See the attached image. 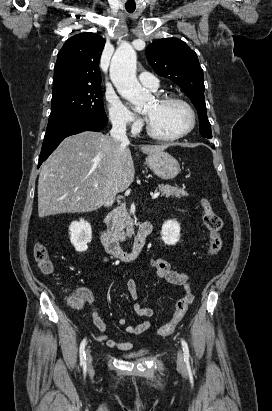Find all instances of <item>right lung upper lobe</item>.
<instances>
[{"instance_id":"cb5924a9","label":"right lung upper lobe","mask_w":272,"mask_h":411,"mask_svg":"<svg viewBox=\"0 0 272 411\" xmlns=\"http://www.w3.org/2000/svg\"><path fill=\"white\" fill-rule=\"evenodd\" d=\"M105 39L95 33H81L68 39L54 68L53 94L60 91L101 86L99 62Z\"/></svg>"}]
</instances>
